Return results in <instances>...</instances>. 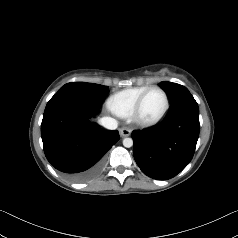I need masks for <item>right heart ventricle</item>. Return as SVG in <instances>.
<instances>
[{"instance_id":"1","label":"right heart ventricle","mask_w":238,"mask_h":238,"mask_svg":"<svg viewBox=\"0 0 238 238\" xmlns=\"http://www.w3.org/2000/svg\"><path fill=\"white\" fill-rule=\"evenodd\" d=\"M149 87V85H143L118 91L110 97L108 103L115 114L128 117L140 95Z\"/></svg>"}]
</instances>
